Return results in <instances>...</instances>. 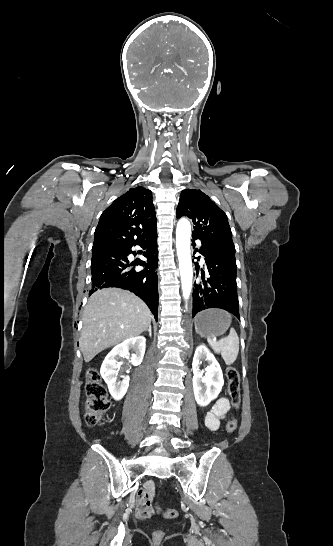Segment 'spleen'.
Segmentation results:
<instances>
[{
  "mask_svg": "<svg viewBox=\"0 0 333 546\" xmlns=\"http://www.w3.org/2000/svg\"><path fill=\"white\" fill-rule=\"evenodd\" d=\"M225 313L231 318L229 313ZM207 341L216 353L221 354L226 365L230 366L236 361L239 353V337L235 329L231 328L229 335L219 341L214 338H208Z\"/></svg>",
  "mask_w": 333,
  "mask_h": 546,
  "instance_id": "obj_1",
  "label": "spleen"
}]
</instances>
